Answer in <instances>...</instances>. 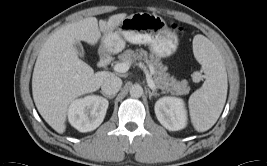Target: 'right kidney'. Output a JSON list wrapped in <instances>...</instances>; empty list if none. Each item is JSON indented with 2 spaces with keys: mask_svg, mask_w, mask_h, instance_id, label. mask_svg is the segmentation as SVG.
<instances>
[{
  "mask_svg": "<svg viewBox=\"0 0 267 166\" xmlns=\"http://www.w3.org/2000/svg\"><path fill=\"white\" fill-rule=\"evenodd\" d=\"M108 105L105 98L96 95L76 99L68 109L69 122L80 132L93 131L103 122Z\"/></svg>",
  "mask_w": 267,
  "mask_h": 166,
  "instance_id": "right-kidney-1",
  "label": "right kidney"
}]
</instances>
